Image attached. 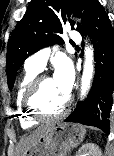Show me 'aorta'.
Returning <instances> with one entry per match:
<instances>
[{"label": "aorta", "instance_id": "1", "mask_svg": "<svg viewBox=\"0 0 114 156\" xmlns=\"http://www.w3.org/2000/svg\"><path fill=\"white\" fill-rule=\"evenodd\" d=\"M84 68L81 79V98L85 97L92 81L93 71H94V57H93V49L91 46H86L84 50Z\"/></svg>", "mask_w": 114, "mask_h": 156}]
</instances>
